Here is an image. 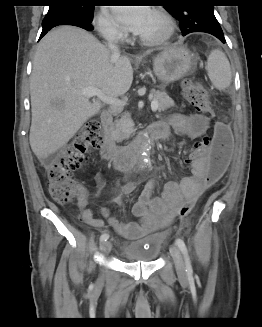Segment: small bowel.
Returning <instances> with one entry per match:
<instances>
[{
  "mask_svg": "<svg viewBox=\"0 0 262 327\" xmlns=\"http://www.w3.org/2000/svg\"><path fill=\"white\" fill-rule=\"evenodd\" d=\"M159 139H167L171 130L185 136L190 140L203 137L211 127L208 116L204 114L183 115L175 114L169 123H158ZM203 153H188V159H184L183 164L187 169L193 166V160H201L194 165L193 171L190 169L189 176L184 177L179 182L170 181L164 185L161 195L153 197V192L157 187L156 180H150L138 201L133 206V214L138 217L137 222H119L110 216L107 210L103 214L108 219L110 226L125 238H137L144 234L154 232L167 226L176 214L178 208L186 200H197L201 193L207 188L205 175L208 165L203 160ZM97 182L102 184L104 176L101 173L96 175ZM133 190V184L124 186L125 192ZM78 207L81 210V220L95 228H102L104 222L93 217L92 211L87 207L85 194H81L78 199Z\"/></svg>",
  "mask_w": 262,
  "mask_h": 327,
  "instance_id": "1",
  "label": "small bowel"
}]
</instances>
